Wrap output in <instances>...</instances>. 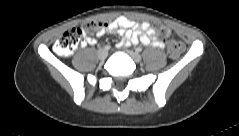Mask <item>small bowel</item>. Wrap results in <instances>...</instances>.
Segmentation results:
<instances>
[{
	"instance_id": "small-bowel-1",
	"label": "small bowel",
	"mask_w": 239,
	"mask_h": 136,
	"mask_svg": "<svg viewBox=\"0 0 239 136\" xmlns=\"http://www.w3.org/2000/svg\"><path fill=\"white\" fill-rule=\"evenodd\" d=\"M106 33H117L122 37L116 45L117 48L129 47L138 43L159 49L165 47L164 42L158 38L156 29L148 22L139 24L123 16L106 23L104 29L96 38H87L85 42L94 45Z\"/></svg>"
}]
</instances>
